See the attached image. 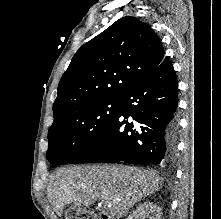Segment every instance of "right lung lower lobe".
Instances as JSON below:
<instances>
[{
    "mask_svg": "<svg viewBox=\"0 0 221 219\" xmlns=\"http://www.w3.org/2000/svg\"><path fill=\"white\" fill-rule=\"evenodd\" d=\"M177 79L165 57L121 97L115 118L99 138L69 163L164 165L176 154Z\"/></svg>",
    "mask_w": 221,
    "mask_h": 219,
    "instance_id": "right-lung-lower-lobe-1",
    "label": "right lung lower lobe"
}]
</instances>
